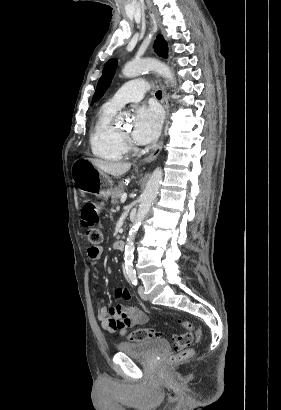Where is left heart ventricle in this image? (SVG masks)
<instances>
[{
	"label": "left heart ventricle",
	"instance_id": "left-heart-ventricle-1",
	"mask_svg": "<svg viewBox=\"0 0 281 410\" xmlns=\"http://www.w3.org/2000/svg\"><path fill=\"white\" fill-rule=\"evenodd\" d=\"M124 134H128V130H123L122 131Z\"/></svg>",
	"mask_w": 281,
	"mask_h": 410
}]
</instances>
